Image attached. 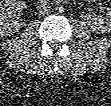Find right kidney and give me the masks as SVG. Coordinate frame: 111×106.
Listing matches in <instances>:
<instances>
[{
    "instance_id": "right-kidney-1",
    "label": "right kidney",
    "mask_w": 111,
    "mask_h": 106,
    "mask_svg": "<svg viewBox=\"0 0 111 106\" xmlns=\"http://www.w3.org/2000/svg\"><path fill=\"white\" fill-rule=\"evenodd\" d=\"M26 8L24 1L2 0L0 2V25L1 35H13L23 26L20 19L13 15L14 9L23 10Z\"/></svg>"
}]
</instances>
